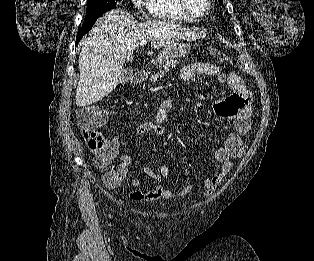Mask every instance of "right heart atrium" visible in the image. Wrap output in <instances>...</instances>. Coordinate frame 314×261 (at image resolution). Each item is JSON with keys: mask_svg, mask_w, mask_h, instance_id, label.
<instances>
[{"mask_svg": "<svg viewBox=\"0 0 314 261\" xmlns=\"http://www.w3.org/2000/svg\"><path fill=\"white\" fill-rule=\"evenodd\" d=\"M133 5L140 9L146 5L147 0H131Z\"/></svg>", "mask_w": 314, "mask_h": 261, "instance_id": "right-heart-atrium-1", "label": "right heart atrium"}]
</instances>
